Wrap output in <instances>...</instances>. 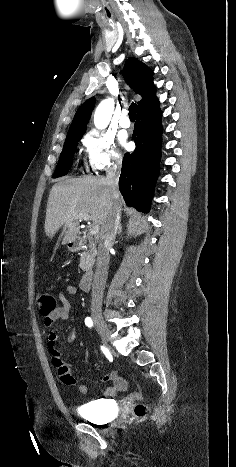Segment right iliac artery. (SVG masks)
Returning a JSON list of instances; mask_svg holds the SVG:
<instances>
[{
    "mask_svg": "<svg viewBox=\"0 0 236 467\" xmlns=\"http://www.w3.org/2000/svg\"><path fill=\"white\" fill-rule=\"evenodd\" d=\"M85 324H86V326H88V327L91 328V327L93 326V321H92V319H91L90 317H87V318L85 319Z\"/></svg>",
    "mask_w": 236,
    "mask_h": 467,
    "instance_id": "1",
    "label": "right iliac artery"
}]
</instances>
